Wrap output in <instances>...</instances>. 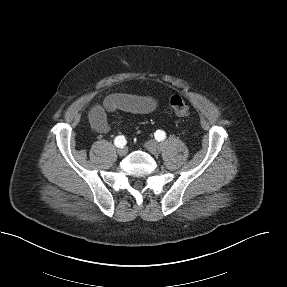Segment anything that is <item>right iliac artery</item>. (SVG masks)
I'll return each instance as SVG.
<instances>
[{"mask_svg": "<svg viewBox=\"0 0 287 287\" xmlns=\"http://www.w3.org/2000/svg\"><path fill=\"white\" fill-rule=\"evenodd\" d=\"M126 139H125V137L124 136H117L116 138H115V140H114V144L117 146V147H121V148H123V146H125L126 145Z\"/></svg>", "mask_w": 287, "mask_h": 287, "instance_id": "82829eb1", "label": "right iliac artery"}]
</instances>
